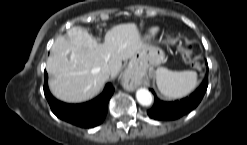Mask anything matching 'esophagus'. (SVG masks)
<instances>
[{
  "mask_svg": "<svg viewBox=\"0 0 247 145\" xmlns=\"http://www.w3.org/2000/svg\"><path fill=\"white\" fill-rule=\"evenodd\" d=\"M122 86L128 91H133L136 88L137 82L133 76L132 71H127L124 74L123 79H122Z\"/></svg>",
  "mask_w": 247,
  "mask_h": 145,
  "instance_id": "obj_1",
  "label": "esophagus"
}]
</instances>
